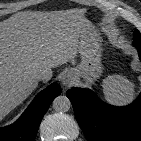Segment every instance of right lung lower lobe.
Segmentation results:
<instances>
[{"label":"right lung lower lobe","instance_id":"1","mask_svg":"<svg viewBox=\"0 0 141 141\" xmlns=\"http://www.w3.org/2000/svg\"><path fill=\"white\" fill-rule=\"evenodd\" d=\"M60 93L61 87L53 83L37 94L17 122L0 128V141H34L44 114Z\"/></svg>","mask_w":141,"mask_h":141}]
</instances>
